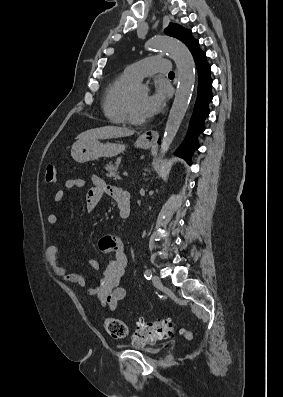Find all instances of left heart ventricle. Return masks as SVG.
<instances>
[{"instance_id":"left-heart-ventricle-1","label":"left heart ventricle","mask_w":283,"mask_h":397,"mask_svg":"<svg viewBox=\"0 0 283 397\" xmlns=\"http://www.w3.org/2000/svg\"><path fill=\"white\" fill-rule=\"evenodd\" d=\"M147 97V94L144 92H139V93H134L132 94V101H133V107H134V112L137 117L139 118H146L145 114L143 113V103Z\"/></svg>"}]
</instances>
